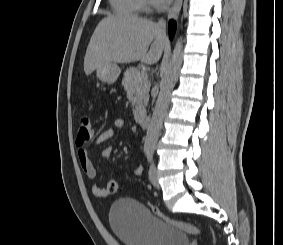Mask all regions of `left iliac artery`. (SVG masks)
Wrapping results in <instances>:
<instances>
[{"mask_svg": "<svg viewBox=\"0 0 283 245\" xmlns=\"http://www.w3.org/2000/svg\"><path fill=\"white\" fill-rule=\"evenodd\" d=\"M152 156H153V150H148L147 151V159H148V161H151Z\"/></svg>", "mask_w": 283, "mask_h": 245, "instance_id": "44dca946", "label": "left iliac artery"}]
</instances>
